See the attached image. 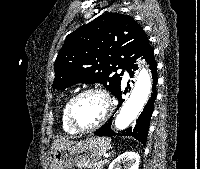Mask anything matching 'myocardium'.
<instances>
[{"label":"myocardium","instance_id":"obj_1","mask_svg":"<svg viewBox=\"0 0 200 169\" xmlns=\"http://www.w3.org/2000/svg\"><path fill=\"white\" fill-rule=\"evenodd\" d=\"M90 93L99 94L104 99L105 111H104V114L101 117V119L95 125L88 127V128H81L75 122L74 115H73V109H74L76 102L82 96H84L86 94H90ZM113 110H114V100H113L111 94L102 87L90 86V87H87V88L79 91L71 98V100L69 101L68 107H67V116H68V120H69L71 126L76 130V132L88 133V132H92V131H95L98 128H100L111 116V114L113 113Z\"/></svg>","mask_w":200,"mask_h":169}]
</instances>
